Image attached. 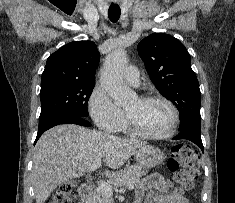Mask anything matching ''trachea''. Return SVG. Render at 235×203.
<instances>
[{
    "instance_id": "1",
    "label": "trachea",
    "mask_w": 235,
    "mask_h": 203,
    "mask_svg": "<svg viewBox=\"0 0 235 203\" xmlns=\"http://www.w3.org/2000/svg\"><path fill=\"white\" fill-rule=\"evenodd\" d=\"M121 15V9L118 5L111 4L108 10V17L111 22H117Z\"/></svg>"
}]
</instances>
